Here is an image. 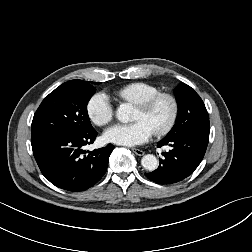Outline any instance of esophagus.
Returning <instances> with one entry per match:
<instances>
[{
  "label": "esophagus",
  "mask_w": 252,
  "mask_h": 252,
  "mask_svg": "<svg viewBox=\"0 0 252 252\" xmlns=\"http://www.w3.org/2000/svg\"><path fill=\"white\" fill-rule=\"evenodd\" d=\"M132 151L138 155V156H143L144 155V152L140 149H137V148H132Z\"/></svg>",
  "instance_id": "1"
}]
</instances>
